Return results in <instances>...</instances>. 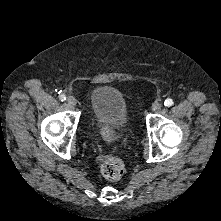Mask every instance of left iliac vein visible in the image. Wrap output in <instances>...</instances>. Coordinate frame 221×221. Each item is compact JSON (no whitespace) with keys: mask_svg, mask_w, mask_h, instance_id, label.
I'll list each match as a JSON object with an SVG mask.
<instances>
[{"mask_svg":"<svg viewBox=\"0 0 221 221\" xmlns=\"http://www.w3.org/2000/svg\"><path fill=\"white\" fill-rule=\"evenodd\" d=\"M162 107V104L160 102H155L153 105H152V110L153 111H157V110H160Z\"/></svg>","mask_w":221,"mask_h":221,"instance_id":"left-iliac-vein-1","label":"left iliac vein"}]
</instances>
